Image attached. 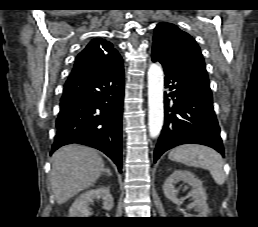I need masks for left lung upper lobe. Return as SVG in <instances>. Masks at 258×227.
<instances>
[{
  "mask_svg": "<svg viewBox=\"0 0 258 227\" xmlns=\"http://www.w3.org/2000/svg\"><path fill=\"white\" fill-rule=\"evenodd\" d=\"M152 54L165 62L208 80L205 62L195 40L171 23H159L153 36Z\"/></svg>",
  "mask_w": 258,
  "mask_h": 227,
  "instance_id": "obj_1",
  "label": "left lung upper lobe"
}]
</instances>
